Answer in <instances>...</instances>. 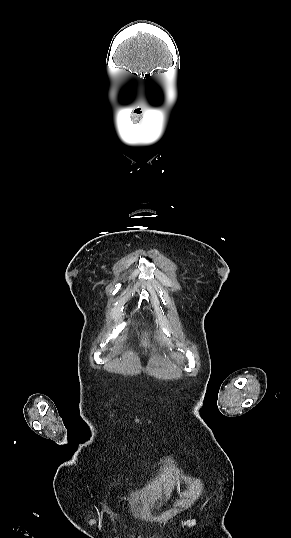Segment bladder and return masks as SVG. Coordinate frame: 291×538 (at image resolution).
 <instances>
[{
    "label": "bladder",
    "instance_id": "31cf9c89",
    "mask_svg": "<svg viewBox=\"0 0 291 538\" xmlns=\"http://www.w3.org/2000/svg\"><path fill=\"white\" fill-rule=\"evenodd\" d=\"M165 510V505L164 504H160L158 505L154 511H152V514H155L156 516H158L159 514H161V512H163Z\"/></svg>",
    "mask_w": 291,
    "mask_h": 538
}]
</instances>
